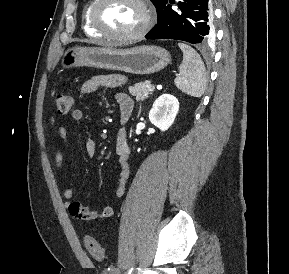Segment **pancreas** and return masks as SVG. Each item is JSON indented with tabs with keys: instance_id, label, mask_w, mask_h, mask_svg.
Masks as SVG:
<instances>
[{
	"instance_id": "1",
	"label": "pancreas",
	"mask_w": 289,
	"mask_h": 274,
	"mask_svg": "<svg viewBox=\"0 0 289 274\" xmlns=\"http://www.w3.org/2000/svg\"><path fill=\"white\" fill-rule=\"evenodd\" d=\"M151 86L150 81L136 83L134 86L129 87V92L131 95L135 96L136 101H143L148 98L151 93L149 89Z\"/></svg>"
}]
</instances>
